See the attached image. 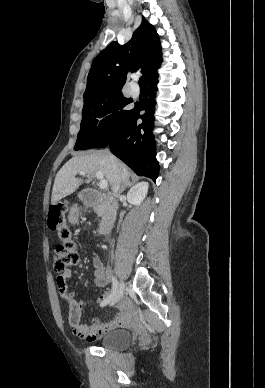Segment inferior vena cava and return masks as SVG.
<instances>
[{"label": "inferior vena cava", "mask_w": 265, "mask_h": 388, "mask_svg": "<svg viewBox=\"0 0 265 388\" xmlns=\"http://www.w3.org/2000/svg\"><path fill=\"white\" fill-rule=\"evenodd\" d=\"M111 156V160H113L114 156H112V154H110ZM114 168V184H113V188H112V192H113V196H115V198H117L118 194H119V190H120V186H121V178H120V172L117 168V166H113Z\"/></svg>", "instance_id": "inferior-vena-cava-1"}]
</instances>
